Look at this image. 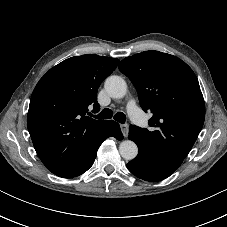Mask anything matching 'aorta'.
I'll list each match as a JSON object with an SVG mask.
<instances>
[{
    "label": "aorta",
    "instance_id": "aorta-1",
    "mask_svg": "<svg viewBox=\"0 0 227 227\" xmlns=\"http://www.w3.org/2000/svg\"><path fill=\"white\" fill-rule=\"evenodd\" d=\"M105 89L112 98H123L127 93V84L120 76H110L105 81ZM120 155L126 160L134 159L138 154L137 145L131 140H124L119 145Z\"/></svg>",
    "mask_w": 227,
    "mask_h": 227
}]
</instances>
